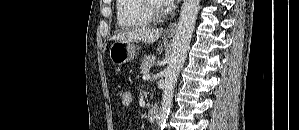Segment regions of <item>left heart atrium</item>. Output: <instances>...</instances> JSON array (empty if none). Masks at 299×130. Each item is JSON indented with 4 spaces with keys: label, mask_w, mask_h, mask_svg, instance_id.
Segmentation results:
<instances>
[{
    "label": "left heart atrium",
    "mask_w": 299,
    "mask_h": 130,
    "mask_svg": "<svg viewBox=\"0 0 299 130\" xmlns=\"http://www.w3.org/2000/svg\"><path fill=\"white\" fill-rule=\"evenodd\" d=\"M165 3L170 4L172 3V0H166Z\"/></svg>",
    "instance_id": "obj_1"
}]
</instances>
